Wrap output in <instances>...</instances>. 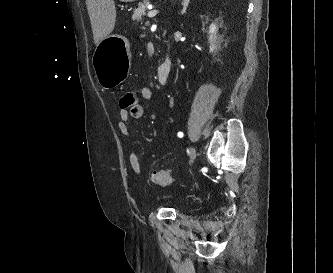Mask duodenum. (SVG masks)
Instances as JSON below:
<instances>
[{"instance_id":"1","label":"duodenum","mask_w":333,"mask_h":273,"mask_svg":"<svg viewBox=\"0 0 333 273\" xmlns=\"http://www.w3.org/2000/svg\"><path fill=\"white\" fill-rule=\"evenodd\" d=\"M172 70V62L169 58H167L164 62L160 64L157 69V78L158 82L161 85H165L168 83L169 77L171 75Z\"/></svg>"}]
</instances>
